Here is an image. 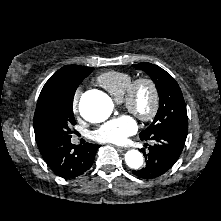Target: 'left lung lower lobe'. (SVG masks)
I'll list each match as a JSON object with an SVG mask.
<instances>
[{
  "mask_svg": "<svg viewBox=\"0 0 221 221\" xmlns=\"http://www.w3.org/2000/svg\"><path fill=\"white\" fill-rule=\"evenodd\" d=\"M187 134L188 126H178L161 130L147 137H140L141 140H152L155 144L149 146L148 153L141 149L146 166L133 173L143 179H153L166 173L179 159Z\"/></svg>",
  "mask_w": 221,
  "mask_h": 221,
  "instance_id": "1",
  "label": "left lung lower lobe"
}]
</instances>
